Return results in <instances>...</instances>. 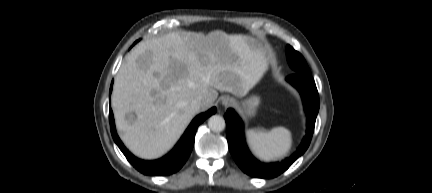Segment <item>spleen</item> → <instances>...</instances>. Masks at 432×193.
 I'll use <instances>...</instances> for the list:
<instances>
[{"instance_id": "3e777b00", "label": "spleen", "mask_w": 432, "mask_h": 193, "mask_svg": "<svg viewBox=\"0 0 432 193\" xmlns=\"http://www.w3.org/2000/svg\"><path fill=\"white\" fill-rule=\"evenodd\" d=\"M246 136L253 154L265 162L285 157L292 146L291 133L284 127H275L269 131L261 128L250 129Z\"/></svg>"}]
</instances>
